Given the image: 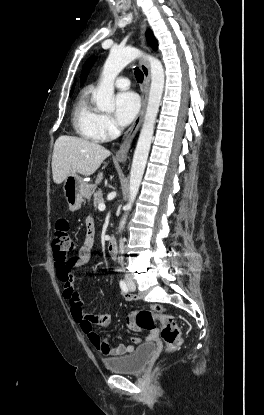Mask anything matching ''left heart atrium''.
<instances>
[{"instance_id":"39dd6f15","label":"left heart atrium","mask_w":264,"mask_h":415,"mask_svg":"<svg viewBox=\"0 0 264 415\" xmlns=\"http://www.w3.org/2000/svg\"><path fill=\"white\" fill-rule=\"evenodd\" d=\"M139 99L133 92H121L115 98V119L122 125H128L137 115Z\"/></svg>"}]
</instances>
